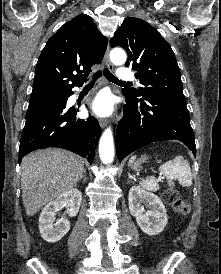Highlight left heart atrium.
Returning a JSON list of instances; mask_svg holds the SVG:
<instances>
[{"mask_svg": "<svg viewBox=\"0 0 221 274\" xmlns=\"http://www.w3.org/2000/svg\"><path fill=\"white\" fill-rule=\"evenodd\" d=\"M92 111L98 116H108L113 111V99L109 93H100L92 104Z\"/></svg>", "mask_w": 221, "mask_h": 274, "instance_id": "1", "label": "left heart atrium"}]
</instances>
